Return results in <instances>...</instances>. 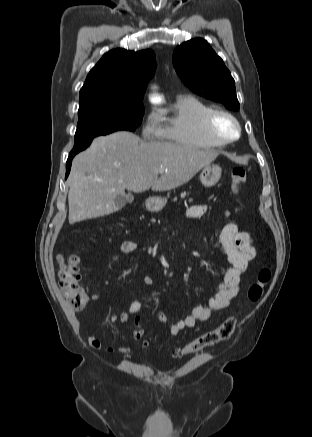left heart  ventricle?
Masks as SVG:
<instances>
[{"instance_id": "1", "label": "left heart ventricle", "mask_w": 312, "mask_h": 437, "mask_svg": "<svg viewBox=\"0 0 312 437\" xmlns=\"http://www.w3.org/2000/svg\"><path fill=\"white\" fill-rule=\"evenodd\" d=\"M215 130L224 137H233L236 134L234 123L225 116H219L214 122Z\"/></svg>"}]
</instances>
